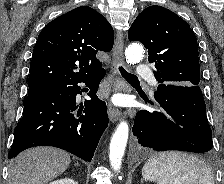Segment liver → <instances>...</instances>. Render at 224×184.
I'll use <instances>...</instances> for the list:
<instances>
[{
    "label": "liver",
    "instance_id": "6515ba94",
    "mask_svg": "<svg viewBox=\"0 0 224 184\" xmlns=\"http://www.w3.org/2000/svg\"><path fill=\"white\" fill-rule=\"evenodd\" d=\"M70 164V155L53 147H36L20 153L9 166L8 184H47Z\"/></svg>",
    "mask_w": 224,
    "mask_h": 184
}]
</instances>
